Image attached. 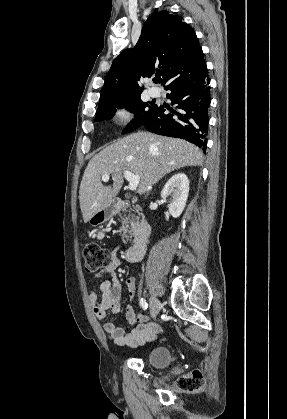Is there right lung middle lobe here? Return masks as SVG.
I'll return each instance as SVG.
<instances>
[{
	"label": "right lung middle lobe",
	"mask_w": 287,
	"mask_h": 419,
	"mask_svg": "<svg viewBox=\"0 0 287 419\" xmlns=\"http://www.w3.org/2000/svg\"><path fill=\"white\" fill-rule=\"evenodd\" d=\"M156 107L157 105H150L148 102H143L140 97L131 98L98 109L96 121L111 118L116 108H126L135 115L134 120L129 123L124 131V133H127L140 127L151 116Z\"/></svg>",
	"instance_id": "dd1d6c3e"
}]
</instances>
